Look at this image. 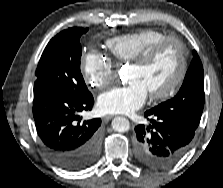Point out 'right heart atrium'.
Masks as SVG:
<instances>
[{"instance_id":"obj_1","label":"right heart atrium","mask_w":223,"mask_h":188,"mask_svg":"<svg viewBox=\"0 0 223 188\" xmlns=\"http://www.w3.org/2000/svg\"><path fill=\"white\" fill-rule=\"evenodd\" d=\"M81 72L89 87L100 90L112 81L114 66L110 58L89 51L82 57Z\"/></svg>"}]
</instances>
